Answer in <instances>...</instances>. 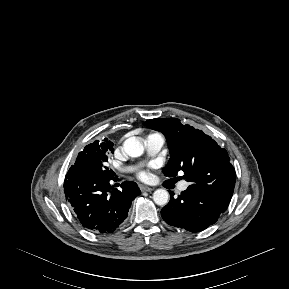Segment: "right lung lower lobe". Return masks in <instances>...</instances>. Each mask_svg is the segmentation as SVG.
<instances>
[{
  "mask_svg": "<svg viewBox=\"0 0 289 289\" xmlns=\"http://www.w3.org/2000/svg\"><path fill=\"white\" fill-rule=\"evenodd\" d=\"M110 179L97 178L70 168L64 192L83 227L96 233H112L126 219L131 202L141 194L137 184L125 181L121 190L110 186Z\"/></svg>",
  "mask_w": 289,
  "mask_h": 289,
  "instance_id": "1",
  "label": "right lung lower lobe"
}]
</instances>
